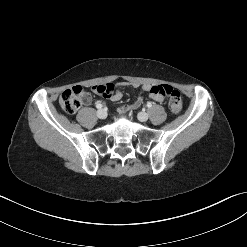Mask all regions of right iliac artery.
I'll return each mask as SVG.
<instances>
[{
    "label": "right iliac artery",
    "instance_id": "82829eb1",
    "mask_svg": "<svg viewBox=\"0 0 247 247\" xmlns=\"http://www.w3.org/2000/svg\"><path fill=\"white\" fill-rule=\"evenodd\" d=\"M102 107H103V105L100 104V103H98V104L96 105V108H97V109H101Z\"/></svg>",
    "mask_w": 247,
    "mask_h": 247
}]
</instances>
